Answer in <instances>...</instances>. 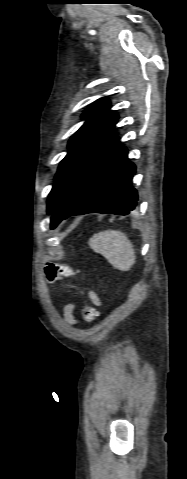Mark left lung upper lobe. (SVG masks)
<instances>
[{
  "mask_svg": "<svg viewBox=\"0 0 187 479\" xmlns=\"http://www.w3.org/2000/svg\"><path fill=\"white\" fill-rule=\"evenodd\" d=\"M110 101L99 99L83 114L86 119L68 143V154L61 161L47 201L52 213L82 173L117 140L114 126L118 115L109 110Z\"/></svg>",
  "mask_w": 187,
  "mask_h": 479,
  "instance_id": "obj_1",
  "label": "left lung upper lobe"
}]
</instances>
